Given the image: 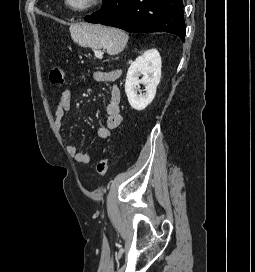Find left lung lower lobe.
I'll list each match as a JSON object with an SVG mask.
<instances>
[{
    "label": "left lung lower lobe",
    "mask_w": 255,
    "mask_h": 272,
    "mask_svg": "<svg viewBox=\"0 0 255 272\" xmlns=\"http://www.w3.org/2000/svg\"><path fill=\"white\" fill-rule=\"evenodd\" d=\"M85 20L128 32H169L184 41L182 0H105L101 10Z\"/></svg>",
    "instance_id": "left-lung-lower-lobe-1"
}]
</instances>
